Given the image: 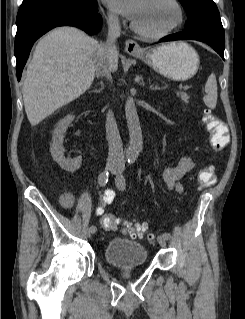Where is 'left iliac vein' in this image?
<instances>
[{
  "instance_id": "1",
  "label": "left iliac vein",
  "mask_w": 245,
  "mask_h": 319,
  "mask_svg": "<svg viewBox=\"0 0 245 319\" xmlns=\"http://www.w3.org/2000/svg\"><path fill=\"white\" fill-rule=\"evenodd\" d=\"M123 167L124 166L122 164H119L118 169L116 171H114V173L116 174L115 184H116L117 188H119V189H121V182L124 180V177L122 174ZM167 240L168 239H166L163 235L158 236V243L163 248L167 247Z\"/></svg>"
}]
</instances>
